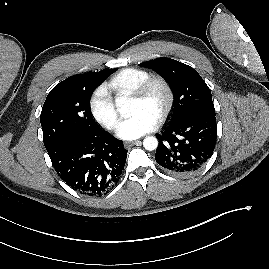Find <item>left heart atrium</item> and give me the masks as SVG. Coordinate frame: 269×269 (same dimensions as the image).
I'll return each mask as SVG.
<instances>
[{
    "instance_id": "1",
    "label": "left heart atrium",
    "mask_w": 269,
    "mask_h": 269,
    "mask_svg": "<svg viewBox=\"0 0 269 269\" xmlns=\"http://www.w3.org/2000/svg\"><path fill=\"white\" fill-rule=\"evenodd\" d=\"M157 123L155 117L147 112L139 111L119 124L117 134L122 139H137L153 131Z\"/></svg>"
}]
</instances>
